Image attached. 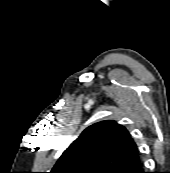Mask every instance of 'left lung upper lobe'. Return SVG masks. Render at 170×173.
Wrapping results in <instances>:
<instances>
[{"label":"left lung upper lobe","mask_w":170,"mask_h":173,"mask_svg":"<svg viewBox=\"0 0 170 173\" xmlns=\"http://www.w3.org/2000/svg\"><path fill=\"white\" fill-rule=\"evenodd\" d=\"M139 158L128 130L107 120L86 128L63 152L50 173H117Z\"/></svg>","instance_id":"1"}]
</instances>
